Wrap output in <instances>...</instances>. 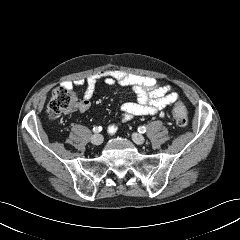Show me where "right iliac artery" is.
Returning a JSON list of instances; mask_svg holds the SVG:
<instances>
[{
	"mask_svg": "<svg viewBox=\"0 0 240 240\" xmlns=\"http://www.w3.org/2000/svg\"><path fill=\"white\" fill-rule=\"evenodd\" d=\"M101 130H102V127H101V126H96V127L93 128V132H94V133H98V132H100Z\"/></svg>",
	"mask_w": 240,
	"mask_h": 240,
	"instance_id": "right-iliac-artery-1",
	"label": "right iliac artery"
}]
</instances>
